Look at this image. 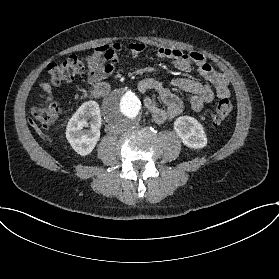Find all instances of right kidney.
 Segmentation results:
<instances>
[{
	"label": "right kidney",
	"mask_w": 279,
	"mask_h": 279,
	"mask_svg": "<svg viewBox=\"0 0 279 279\" xmlns=\"http://www.w3.org/2000/svg\"><path fill=\"white\" fill-rule=\"evenodd\" d=\"M88 120H90L88 122ZM90 129H84L89 127ZM101 113L95 101L84 102L68 121L66 138L81 156L92 152L100 138Z\"/></svg>",
	"instance_id": "obj_1"
}]
</instances>
